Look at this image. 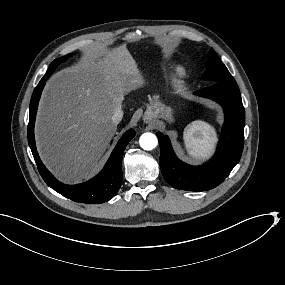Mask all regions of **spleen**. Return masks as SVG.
I'll return each instance as SVG.
<instances>
[{
  "label": "spleen",
  "mask_w": 285,
  "mask_h": 285,
  "mask_svg": "<svg viewBox=\"0 0 285 285\" xmlns=\"http://www.w3.org/2000/svg\"><path fill=\"white\" fill-rule=\"evenodd\" d=\"M183 140L190 156L204 159L212 155L217 135L213 126L202 120H195L185 127Z\"/></svg>",
  "instance_id": "spleen-1"
}]
</instances>
